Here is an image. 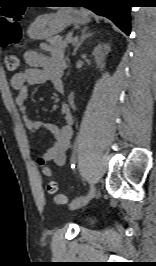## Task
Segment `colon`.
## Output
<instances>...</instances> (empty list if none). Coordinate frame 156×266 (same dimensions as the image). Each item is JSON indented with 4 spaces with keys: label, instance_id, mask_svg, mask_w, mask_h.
Masks as SVG:
<instances>
[{
    "label": "colon",
    "instance_id": "obj_1",
    "mask_svg": "<svg viewBox=\"0 0 156 266\" xmlns=\"http://www.w3.org/2000/svg\"><path fill=\"white\" fill-rule=\"evenodd\" d=\"M21 16L22 11L16 9L0 20V40L3 46H9L20 41L22 32L19 20ZM5 65L8 71L16 72L21 66V59L16 54H7L5 56ZM38 163L42 166L43 174L50 179L47 187L49 193L54 194V200L57 204H65L67 196L59 191L58 183L52 179L51 169L44 166V161L41 158L38 159Z\"/></svg>",
    "mask_w": 156,
    "mask_h": 266
}]
</instances>
